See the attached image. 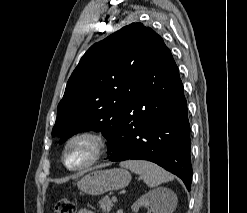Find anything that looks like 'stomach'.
I'll list each match as a JSON object with an SVG mask.
<instances>
[{
	"instance_id": "stomach-1",
	"label": "stomach",
	"mask_w": 247,
	"mask_h": 213,
	"mask_svg": "<svg viewBox=\"0 0 247 213\" xmlns=\"http://www.w3.org/2000/svg\"><path fill=\"white\" fill-rule=\"evenodd\" d=\"M131 180V174L120 168L94 170L83 176L77 186L81 192L89 195H102L108 191L126 187Z\"/></svg>"
}]
</instances>
